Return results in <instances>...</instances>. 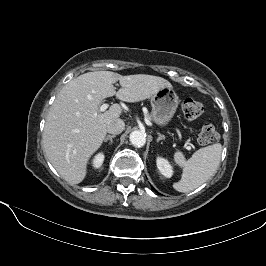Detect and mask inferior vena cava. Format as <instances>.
<instances>
[{
	"label": "inferior vena cava",
	"instance_id": "inferior-vena-cava-1",
	"mask_svg": "<svg viewBox=\"0 0 266 266\" xmlns=\"http://www.w3.org/2000/svg\"><path fill=\"white\" fill-rule=\"evenodd\" d=\"M125 128V123L120 118H115L108 122L107 124V132L110 134H120Z\"/></svg>",
	"mask_w": 266,
	"mask_h": 266
}]
</instances>
